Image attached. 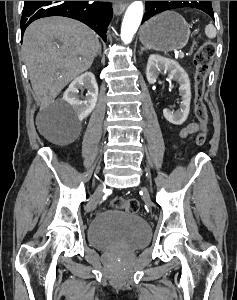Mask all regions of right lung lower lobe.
Returning a JSON list of instances; mask_svg holds the SVG:
<instances>
[{
	"mask_svg": "<svg viewBox=\"0 0 237 300\" xmlns=\"http://www.w3.org/2000/svg\"><path fill=\"white\" fill-rule=\"evenodd\" d=\"M110 3L89 1H24L21 18L22 36L27 26L42 17L64 16L79 20L106 41V31L112 18Z\"/></svg>",
	"mask_w": 237,
	"mask_h": 300,
	"instance_id": "obj_1",
	"label": "right lung lower lobe"
}]
</instances>
